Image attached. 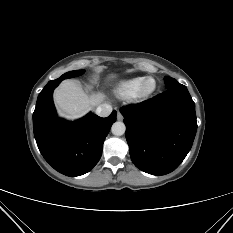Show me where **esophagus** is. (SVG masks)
<instances>
[{
    "label": "esophagus",
    "instance_id": "1",
    "mask_svg": "<svg viewBox=\"0 0 233 233\" xmlns=\"http://www.w3.org/2000/svg\"><path fill=\"white\" fill-rule=\"evenodd\" d=\"M117 120L119 121L123 120V115L119 111L117 112Z\"/></svg>",
    "mask_w": 233,
    "mask_h": 233
}]
</instances>
